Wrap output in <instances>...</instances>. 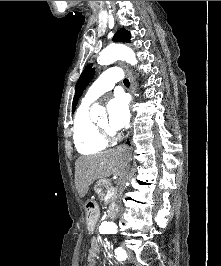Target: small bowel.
<instances>
[{
	"mask_svg": "<svg viewBox=\"0 0 221 266\" xmlns=\"http://www.w3.org/2000/svg\"><path fill=\"white\" fill-rule=\"evenodd\" d=\"M100 253L99 244L96 238L91 239V247L89 251V259H88V266H95V260L94 258L98 256ZM104 262L107 264V259L104 260Z\"/></svg>",
	"mask_w": 221,
	"mask_h": 266,
	"instance_id": "obj_1",
	"label": "small bowel"
}]
</instances>
